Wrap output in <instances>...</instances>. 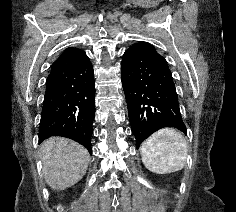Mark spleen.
<instances>
[{"label":"spleen","instance_id":"3e777b00","mask_svg":"<svg viewBox=\"0 0 236 212\" xmlns=\"http://www.w3.org/2000/svg\"><path fill=\"white\" fill-rule=\"evenodd\" d=\"M145 167L157 174L181 170L186 163L187 143L173 128H163L152 134L140 147Z\"/></svg>","mask_w":236,"mask_h":212}]
</instances>
